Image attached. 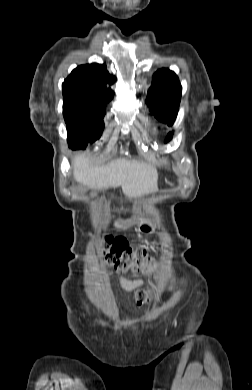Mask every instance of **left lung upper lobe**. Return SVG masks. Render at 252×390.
Masks as SVG:
<instances>
[{
  "mask_svg": "<svg viewBox=\"0 0 252 390\" xmlns=\"http://www.w3.org/2000/svg\"><path fill=\"white\" fill-rule=\"evenodd\" d=\"M181 93L182 87L176 74L169 69H161L153 76L146 102L158 120L171 126L177 117ZM171 137L172 134H168L166 142Z\"/></svg>",
  "mask_w": 252,
  "mask_h": 390,
  "instance_id": "obj_1",
  "label": "left lung upper lobe"
}]
</instances>
